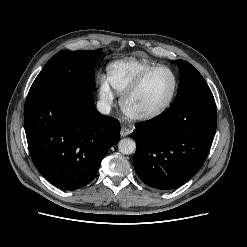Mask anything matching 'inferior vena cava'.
<instances>
[{"label":"inferior vena cava","mask_w":247,"mask_h":247,"mask_svg":"<svg viewBox=\"0 0 247 247\" xmlns=\"http://www.w3.org/2000/svg\"><path fill=\"white\" fill-rule=\"evenodd\" d=\"M97 110L104 115H107L110 113L111 105L105 101H98L97 102Z\"/></svg>","instance_id":"602c4592"}]
</instances>
